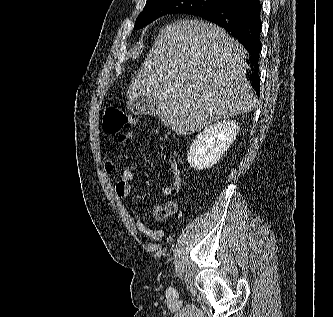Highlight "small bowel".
Segmentation results:
<instances>
[{"label": "small bowel", "instance_id": "small-bowel-1", "mask_svg": "<svg viewBox=\"0 0 333 317\" xmlns=\"http://www.w3.org/2000/svg\"><path fill=\"white\" fill-rule=\"evenodd\" d=\"M133 133H123L118 136L119 142H126L133 139ZM103 167L108 174H115L117 171L116 164L109 155H105L103 158ZM171 168L173 172V183L164 188L163 192L167 196H176L179 193L181 187V173L175 162H171ZM133 178V172L130 168H125L116 183L115 191L119 198H128L131 194V180ZM180 211L179 203L176 200H169L163 206L155 207L152 211V216L158 221H163L169 216H176ZM135 227L138 232L145 235L152 241H158L166 234L165 229H152L148 227L144 222L135 220Z\"/></svg>", "mask_w": 333, "mask_h": 317}]
</instances>
